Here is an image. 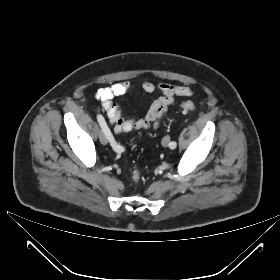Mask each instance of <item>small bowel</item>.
Masks as SVG:
<instances>
[{
	"instance_id": "small-bowel-1",
	"label": "small bowel",
	"mask_w": 280,
	"mask_h": 280,
	"mask_svg": "<svg viewBox=\"0 0 280 280\" xmlns=\"http://www.w3.org/2000/svg\"><path fill=\"white\" fill-rule=\"evenodd\" d=\"M130 89V83L122 81L110 87L99 89L96 93V98L101 102L117 134L130 133L134 130L157 129L168 108L173 104L175 97L190 96L192 94V90L187 86L168 83L155 84L152 81L145 80L142 83V89L147 93L157 90L160 96L150 104L144 117L124 118L119 104L113 99L126 96Z\"/></svg>"
}]
</instances>
